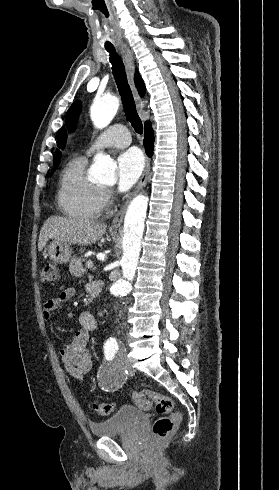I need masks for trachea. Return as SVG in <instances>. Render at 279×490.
<instances>
[{"mask_svg":"<svg viewBox=\"0 0 279 490\" xmlns=\"http://www.w3.org/2000/svg\"><path fill=\"white\" fill-rule=\"evenodd\" d=\"M106 50L109 52L110 55L109 59L112 63L114 79L116 81L118 91L122 99L127 120L131 123L135 132L141 135L143 133V125L136 111L131 89L127 83V77L123 62L119 55L116 53L114 47H106Z\"/></svg>","mask_w":279,"mask_h":490,"instance_id":"trachea-1","label":"trachea"}]
</instances>
